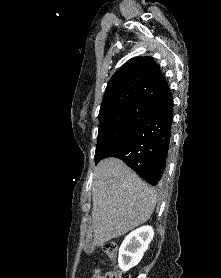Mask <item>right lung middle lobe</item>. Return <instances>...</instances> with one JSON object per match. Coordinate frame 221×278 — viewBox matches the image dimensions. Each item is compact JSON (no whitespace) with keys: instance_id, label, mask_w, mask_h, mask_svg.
<instances>
[{"instance_id":"right-lung-middle-lobe-1","label":"right lung middle lobe","mask_w":221,"mask_h":278,"mask_svg":"<svg viewBox=\"0 0 221 278\" xmlns=\"http://www.w3.org/2000/svg\"><path fill=\"white\" fill-rule=\"evenodd\" d=\"M146 102H132L99 115L95 162L121 139L131 133L151 112Z\"/></svg>"}]
</instances>
